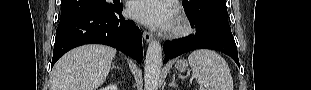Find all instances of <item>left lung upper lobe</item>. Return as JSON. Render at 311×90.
<instances>
[{"label":"left lung upper lobe","mask_w":311,"mask_h":90,"mask_svg":"<svg viewBox=\"0 0 311 90\" xmlns=\"http://www.w3.org/2000/svg\"><path fill=\"white\" fill-rule=\"evenodd\" d=\"M183 7L196 28L212 25L231 31L225 0H188L183 2Z\"/></svg>","instance_id":"1"}]
</instances>
